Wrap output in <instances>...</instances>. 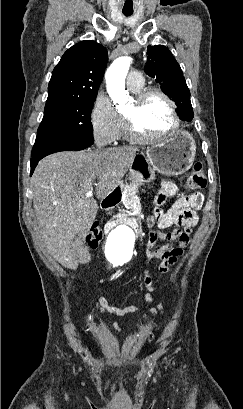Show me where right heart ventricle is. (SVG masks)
Returning <instances> with one entry per match:
<instances>
[{
    "mask_svg": "<svg viewBox=\"0 0 243 409\" xmlns=\"http://www.w3.org/2000/svg\"><path fill=\"white\" fill-rule=\"evenodd\" d=\"M133 93H137L139 91H141L142 87L138 88V89H131L129 88ZM127 136V131H126V127L125 124L123 122V133H122V137H126Z\"/></svg>",
    "mask_w": 243,
    "mask_h": 409,
    "instance_id": "1",
    "label": "right heart ventricle"
}]
</instances>
